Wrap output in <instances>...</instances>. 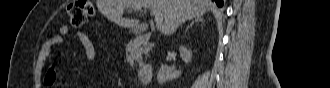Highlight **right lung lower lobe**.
Masks as SVG:
<instances>
[{
    "label": "right lung lower lobe",
    "mask_w": 330,
    "mask_h": 88,
    "mask_svg": "<svg viewBox=\"0 0 330 88\" xmlns=\"http://www.w3.org/2000/svg\"><path fill=\"white\" fill-rule=\"evenodd\" d=\"M219 7L223 6V0H214Z\"/></svg>",
    "instance_id": "98d812e1"
}]
</instances>
